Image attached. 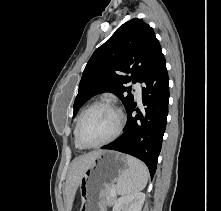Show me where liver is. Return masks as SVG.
Masks as SVG:
<instances>
[{
	"label": "liver",
	"instance_id": "1",
	"mask_svg": "<svg viewBox=\"0 0 221 211\" xmlns=\"http://www.w3.org/2000/svg\"><path fill=\"white\" fill-rule=\"evenodd\" d=\"M100 152L101 151L90 152L83 156L77 157L72 161L69 167L65 186L67 211H71L72 209L74 197L85 169L93 162L95 157Z\"/></svg>",
	"mask_w": 221,
	"mask_h": 211
}]
</instances>
